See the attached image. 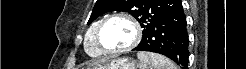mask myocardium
<instances>
[{
  "label": "myocardium",
  "mask_w": 246,
  "mask_h": 69,
  "mask_svg": "<svg viewBox=\"0 0 246 69\" xmlns=\"http://www.w3.org/2000/svg\"><path fill=\"white\" fill-rule=\"evenodd\" d=\"M113 19L126 20L127 22H129L131 24V26L133 28L134 38L130 44H128L127 46H125L123 48H119V49L107 48L103 45V43L101 41L100 34H101L103 28L106 26V24L109 21H111ZM141 37H142V29H141L140 23L133 16H131L129 14H125V13H113V14L107 15L106 17L103 18V20L97 26L96 31H95V39H96V42H97L98 46L100 47L102 53L109 54V55H118V54H121V53H124L126 51L133 49L140 42Z\"/></svg>",
  "instance_id": "obj_1"
}]
</instances>
